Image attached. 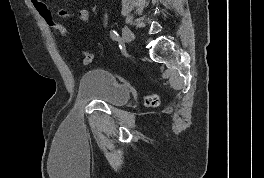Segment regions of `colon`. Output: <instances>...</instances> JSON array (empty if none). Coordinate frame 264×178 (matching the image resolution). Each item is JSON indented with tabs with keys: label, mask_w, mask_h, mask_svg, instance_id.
<instances>
[{
	"label": "colon",
	"mask_w": 264,
	"mask_h": 178,
	"mask_svg": "<svg viewBox=\"0 0 264 178\" xmlns=\"http://www.w3.org/2000/svg\"><path fill=\"white\" fill-rule=\"evenodd\" d=\"M35 10L37 11L40 18L44 21V23L52 28L57 30L62 35H67V31L65 27L55 19L52 10L43 0H31ZM94 60V54L90 52H82L81 53V61L83 64L88 65L91 64ZM148 105L156 106L158 104V99L155 96H150L147 99Z\"/></svg>",
	"instance_id": "5ec220e1"
}]
</instances>
